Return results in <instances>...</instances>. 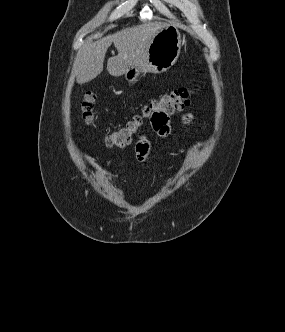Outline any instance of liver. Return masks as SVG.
<instances>
[{
    "label": "liver",
    "mask_w": 285,
    "mask_h": 332,
    "mask_svg": "<svg viewBox=\"0 0 285 332\" xmlns=\"http://www.w3.org/2000/svg\"><path fill=\"white\" fill-rule=\"evenodd\" d=\"M167 26L157 21L146 22L90 43L77 55L73 65L77 83H87L103 71L105 54L112 43L118 55L107 61V71L111 76L119 77L130 68L139 66L146 59L155 35Z\"/></svg>",
    "instance_id": "liver-1"
}]
</instances>
